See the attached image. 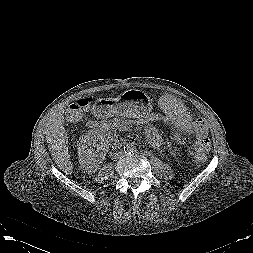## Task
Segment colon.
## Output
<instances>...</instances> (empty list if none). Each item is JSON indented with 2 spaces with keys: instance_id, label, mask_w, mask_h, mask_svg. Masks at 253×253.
<instances>
[{
  "instance_id": "1",
  "label": "colon",
  "mask_w": 253,
  "mask_h": 253,
  "mask_svg": "<svg viewBox=\"0 0 253 253\" xmlns=\"http://www.w3.org/2000/svg\"><path fill=\"white\" fill-rule=\"evenodd\" d=\"M92 99L89 97L78 99L77 101L73 102L69 105L66 110L65 118L70 123H75L84 116V114L89 110L91 107ZM200 123L203 126V138L201 142L206 146L207 152L210 148V140L207 136V126L204 120L199 119Z\"/></svg>"
}]
</instances>
